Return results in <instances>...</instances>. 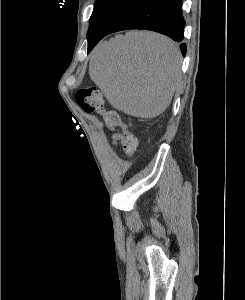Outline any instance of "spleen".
Masks as SVG:
<instances>
[{
  "mask_svg": "<svg viewBox=\"0 0 245 300\" xmlns=\"http://www.w3.org/2000/svg\"><path fill=\"white\" fill-rule=\"evenodd\" d=\"M180 66V50L170 39L150 32H128L95 49L89 75L115 109L151 118L170 105Z\"/></svg>",
  "mask_w": 245,
  "mask_h": 300,
  "instance_id": "obj_1",
  "label": "spleen"
}]
</instances>
